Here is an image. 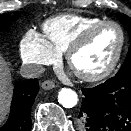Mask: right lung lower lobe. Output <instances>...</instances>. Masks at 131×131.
<instances>
[{
    "instance_id": "1",
    "label": "right lung lower lobe",
    "mask_w": 131,
    "mask_h": 131,
    "mask_svg": "<svg viewBox=\"0 0 131 131\" xmlns=\"http://www.w3.org/2000/svg\"><path fill=\"white\" fill-rule=\"evenodd\" d=\"M39 91L37 79H29L14 88L10 115L0 131H30V111Z\"/></svg>"
}]
</instances>
